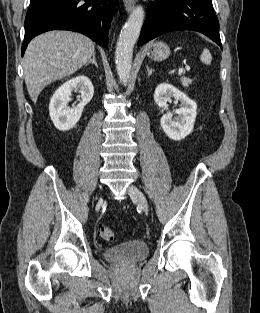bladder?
I'll list each match as a JSON object with an SVG mask.
<instances>
[{"mask_svg": "<svg viewBox=\"0 0 260 313\" xmlns=\"http://www.w3.org/2000/svg\"><path fill=\"white\" fill-rule=\"evenodd\" d=\"M148 252L145 241L132 239L105 249L103 257L108 261H136L145 258Z\"/></svg>", "mask_w": 260, "mask_h": 313, "instance_id": "1", "label": "bladder"}]
</instances>
